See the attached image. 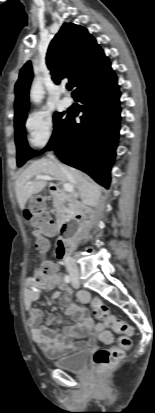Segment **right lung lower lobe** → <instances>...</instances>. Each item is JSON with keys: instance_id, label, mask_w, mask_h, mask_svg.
Masks as SVG:
<instances>
[{"instance_id": "1", "label": "right lung lower lobe", "mask_w": 155, "mask_h": 413, "mask_svg": "<svg viewBox=\"0 0 155 413\" xmlns=\"http://www.w3.org/2000/svg\"><path fill=\"white\" fill-rule=\"evenodd\" d=\"M119 97L117 77L110 67L74 94L82 103L81 123L68 114L58 135L45 148L53 149L63 163L86 172L106 188L119 136Z\"/></svg>"}]
</instances>
